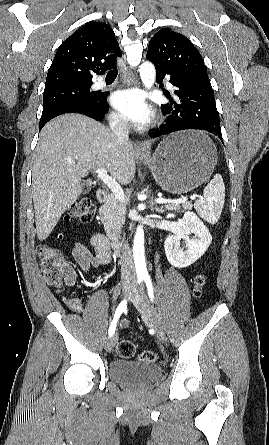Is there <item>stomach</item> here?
<instances>
[{"label": "stomach", "mask_w": 269, "mask_h": 445, "mask_svg": "<svg viewBox=\"0 0 269 445\" xmlns=\"http://www.w3.org/2000/svg\"><path fill=\"white\" fill-rule=\"evenodd\" d=\"M148 164L157 184L172 194H184L203 184L217 164L213 142L199 131H181L167 136Z\"/></svg>", "instance_id": "stomach-1"}]
</instances>
